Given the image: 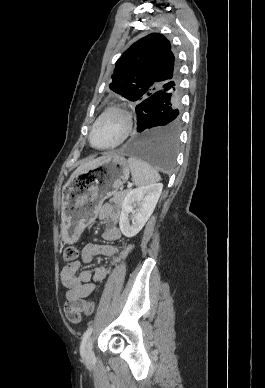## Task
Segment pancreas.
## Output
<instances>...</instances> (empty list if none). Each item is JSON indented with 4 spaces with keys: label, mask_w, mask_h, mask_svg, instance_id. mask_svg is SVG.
Returning a JSON list of instances; mask_svg holds the SVG:
<instances>
[{
    "label": "pancreas",
    "mask_w": 265,
    "mask_h": 388,
    "mask_svg": "<svg viewBox=\"0 0 265 388\" xmlns=\"http://www.w3.org/2000/svg\"><path fill=\"white\" fill-rule=\"evenodd\" d=\"M127 192H129V190H124V192H117V194H114V198H111L110 202H114V204L121 206Z\"/></svg>",
    "instance_id": "pancreas-1"
}]
</instances>
